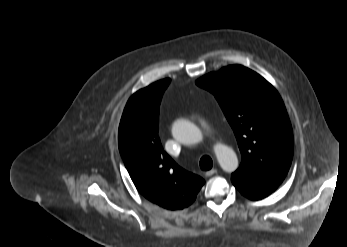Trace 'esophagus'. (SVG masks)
<instances>
[{
	"label": "esophagus",
	"mask_w": 347,
	"mask_h": 247,
	"mask_svg": "<svg viewBox=\"0 0 347 247\" xmlns=\"http://www.w3.org/2000/svg\"><path fill=\"white\" fill-rule=\"evenodd\" d=\"M215 173H217V170H216L215 168H213V169L207 171V172L205 173V175H206L207 177H210V176H212V175L215 174Z\"/></svg>",
	"instance_id": "1"
}]
</instances>
